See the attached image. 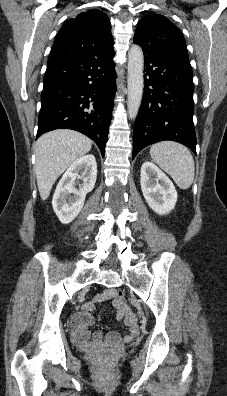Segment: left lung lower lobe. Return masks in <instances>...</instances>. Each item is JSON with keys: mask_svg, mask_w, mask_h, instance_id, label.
I'll return each mask as SVG.
<instances>
[{"mask_svg": "<svg viewBox=\"0 0 227 396\" xmlns=\"http://www.w3.org/2000/svg\"><path fill=\"white\" fill-rule=\"evenodd\" d=\"M143 53L145 89L134 127L133 158L144 147L164 140L196 153L189 59L161 50L143 49Z\"/></svg>", "mask_w": 227, "mask_h": 396, "instance_id": "1", "label": "left lung lower lobe"}]
</instances>
